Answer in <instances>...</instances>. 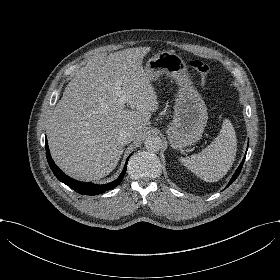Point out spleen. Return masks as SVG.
Wrapping results in <instances>:
<instances>
[{"mask_svg":"<svg viewBox=\"0 0 280 280\" xmlns=\"http://www.w3.org/2000/svg\"><path fill=\"white\" fill-rule=\"evenodd\" d=\"M237 154V137L234 125L224 119L216 139L201 155H192L181 162L206 182H217L227 175Z\"/></svg>","mask_w":280,"mask_h":280,"instance_id":"3e777b00","label":"spleen"}]
</instances>
